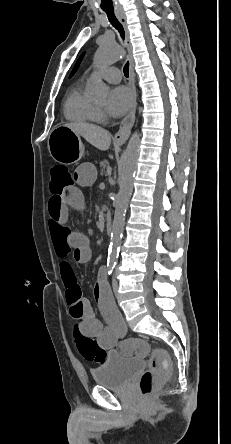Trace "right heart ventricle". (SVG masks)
<instances>
[{
  "mask_svg": "<svg viewBox=\"0 0 231 444\" xmlns=\"http://www.w3.org/2000/svg\"><path fill=\"white\" fill-rule=\"evenodd\" d=\"M64 115L67 120L73 122H97L98 109L84 95L82 85L73 88L65 100Z\"/></svg>",
  "mask_w": 231,
  "mask_h": 444,
  "instance_id": "1",
  "label": "right heart ventricle"
}]
</instances>
